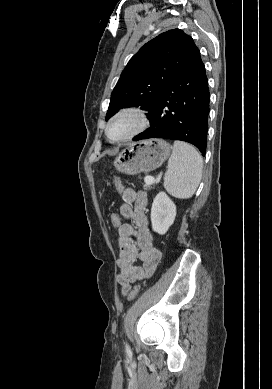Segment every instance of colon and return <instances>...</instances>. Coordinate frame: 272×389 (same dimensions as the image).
<instances>
[{
    "label": "colon",
    "mask_w": 272,
    "mask_h": 389,
    "mask_svg": "<svg viewBox=\"0 0 272 389\" xmlns=\"http://www.w3.org/2000/svg\"><path fill=\"white\" fill-rule=\"evenodd\" d=\"M114 182H115V186L117 187V189L121 190L122 185H121L119 178L115 177ZM110 221H111L112 226L116 229H118L122 225V218H121L120 214L117 212H113L111 214ZM139 292H140V286L139 285L134 286L128 293V299L134 300L138 296Z\"/></svg>",
    "instance_id": "5ec220e1"
}]
</instances>
